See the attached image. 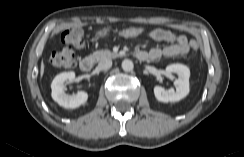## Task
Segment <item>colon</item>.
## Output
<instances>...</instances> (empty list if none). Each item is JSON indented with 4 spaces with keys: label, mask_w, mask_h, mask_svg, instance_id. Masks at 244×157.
<instances>
[{
    "label": "colon",
    "mask_w": 244,
    "mask_h": 157,
    "mask_svg": "<svg viewBox=\"0 0 244 157\" xmlns=\"http://www.w3.org/2000/svg\"><path fill=\"white\" fill-rule=\"evenodd\" d=\"M147 31L142 27H127L119 31L122 38H135L142 36ZM61 40L63 47L52 52L50 56V64L54 68L70 70L76 64V49L81 48L85 44V35L82 29L73 28L62 32ZM190 46L193 51L199 49V44L192 40Z\"/></svg>",
    "instance_id": "1"
}]
</instances>
